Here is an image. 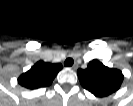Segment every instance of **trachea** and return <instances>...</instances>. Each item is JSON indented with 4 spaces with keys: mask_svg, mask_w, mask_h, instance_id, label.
<instances>
[{
    "mask_svg": "<svg viewBox=\"0 0 133 106\" xmlns=\"http://www.w3.org/2000/svg\"><path fill=\"white\" fill-rule=\"evenodd\" d=\"M73 63H74V61H73L72 58H67V59L65 60V62H64V65L69 67V66H72Z\"/></svg>",
    "mask_w": 133,
    "mask_h": 106,
    "instance_id": "3493384b",
    "label": "trachea"
}]
</instances>
